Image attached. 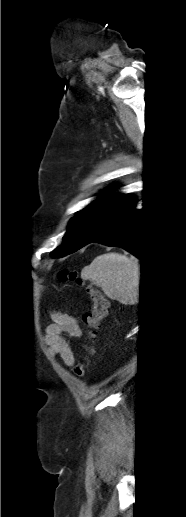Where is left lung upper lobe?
<instances>
[{
  "label": "left lung upper lobe",
  "instance_id": "1",
  "mask_svg": "<svg viewBox=\"0 0 186 517\" xmlns=\"http://www.w3.org/2000/svg\"><path fill=\"white\" fill-rule=\"evenodd\" d=\"M123 195L124 194L103 195L79 211L75 218L71 219L68 231L63 237V245L59 246L53 252L54 256L62 257L85 246L92 236L95 225Z\"/></svg>",
  "mask_w": 186,
  "mask_h": 517
}]
</instances>
